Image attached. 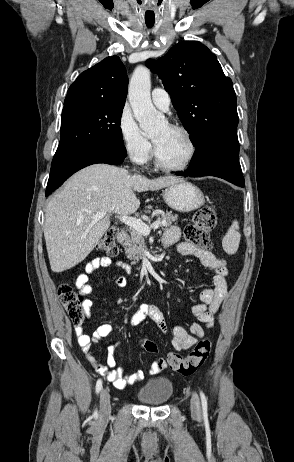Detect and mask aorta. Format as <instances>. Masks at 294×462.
Instances as JSON below:
<instances>
[{
  "instance_id": "aorta-1",
  "label": "aorta",
  "mask_w": 294,
  "mask_h": 462,
  "mask_svg": "<svg viewBox=\"0 0 294 462\" xmlns=\"http://www.w3.org/2000/svg\"><path fill=\"white\" fill-rule=\"evenodd\" d=\"M149 69L139 66L133 72L129 83L128 98L140 128L146 134L157 130L163 122L161 115L152 104Z\"/></svg>"
}]
</instances>
